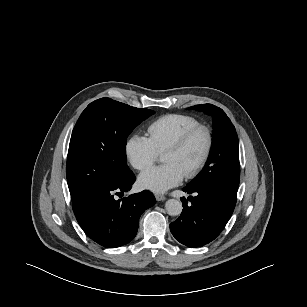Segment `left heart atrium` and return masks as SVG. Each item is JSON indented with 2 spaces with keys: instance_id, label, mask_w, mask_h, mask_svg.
I'll return each instance as SVG.
<instances>
[{
  "instance_id": "39dd6f15",
  "label": "left heart atrium",
  "mask_w": 307,
  "mask_h": 307,
  "mask_svg": "<svg viewBox=\"0 0 307 307\" xmlns=\"http://www.w3.org/2000/svg\"><path fill=\"white\" fill-rule=\"evenodd\" d=\"M184 178V173L174 164H163L152 167L140 174L139 185L156 193H162L178 185Z\"/></svg>"
}]
</instances>
